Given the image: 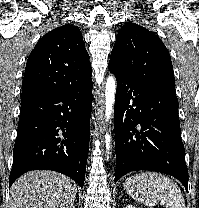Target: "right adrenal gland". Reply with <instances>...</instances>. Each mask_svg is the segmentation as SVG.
<instances>
[{"label":"right adrenal gland","instance_id":"obj_1","mask_svg":"<svg viewBox=\"0 0 199 208\" xmlns=\"http://www.w3.org/2000/svg\"><path fill=\"white\" fill-rule=\"evenodd\" d=\"M67 208H75V203L72 202Z\"/></svg>","mask_w":199,"mask_h":208}]
</instances>
